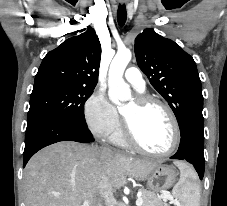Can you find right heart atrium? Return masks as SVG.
Masks as SVG:
<instances>
[{"label": "right heart atrium", "mask_w": 227, "mask_h": 206, "mask_svg": "<svg viewBox=\"0 0 227 206\" xmlns=\"http://www.w3.org/2000/svg\"><path fill=\"white\" fill-rule=\"evenodd\" d=\"M84 117L89 130L98 137L110 136L120 125L119 114L106 95L96 91L84 105Z\"/></svg>", "instance_id": "obj_1"}]
</instances>
